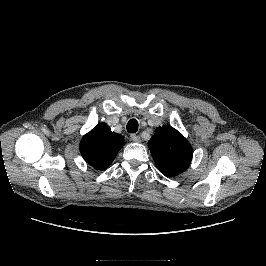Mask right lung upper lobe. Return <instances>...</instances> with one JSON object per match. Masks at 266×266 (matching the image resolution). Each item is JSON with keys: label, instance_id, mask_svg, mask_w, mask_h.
I'll list each match as a JSON object with an SVG mask.
<instances>
[{"label": "right lung upper lobe", "instance_id": "obj_1", "mask_svg": "<svg viewBox=\"0 0 266 266\" xmlns=\"http://www.w3.org/2000/svg\"><path fill=\"white\" fill-rule=\"evenodd\" d=\"M121 135L111 131L105 123H99L80 142V152L84 160L98 170H104L115 159L123 147Z\"/></svg>", "mask_w": 266, "mask_h": 266}]
</instances>
